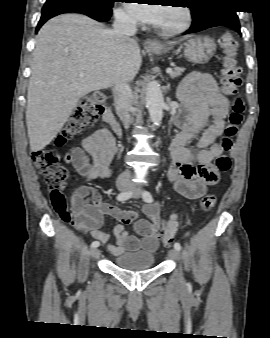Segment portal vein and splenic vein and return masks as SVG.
<instances>
[{
  "instance_id": "18ae733b",
  "label": "portal vein and splenic vein",
  "mask_w": 270,
  "mask_h": 338,
  "mask_svg": "<svg viewBox=\"0 0 270 338\" xmlns=\"http://www.w3.org/2000/svg\"><path fill=\"white\" fill-rule=\"evenodd\" d=\"M171 72H172V69H171V68H167V69H166V73H167V74H170ZM79 76H80V77H84V73H83V72H80Z\"/></svg>"
}]
</instances>
